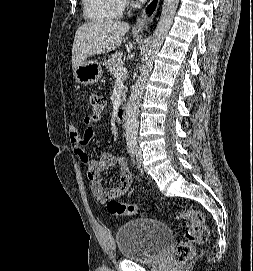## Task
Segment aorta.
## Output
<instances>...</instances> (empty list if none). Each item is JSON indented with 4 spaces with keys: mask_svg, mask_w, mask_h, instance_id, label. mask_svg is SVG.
<instances>
[{
    "mask_svg": "<svg viewBox=\"0 0 253 271\" xmlns=\"http://www.w3.org/2000/svg\"><path fill=\"white\" fill-rule=\"evenodd\" d=\"M178 3L179 0H164L163 2L161 16L148 47L145 63L141 68L126 106L125 130L127 141L137 140L141 96L144 91L146 80L153 67L154 59L173 23Z\"/></svg>",
    "mask_w": 253,
    "mask_h": 271,
    "instance_id": "obj_1",
    "label": "aorta"
}]
</instances>
